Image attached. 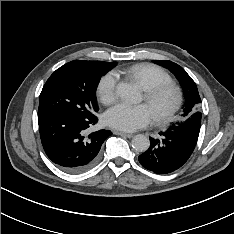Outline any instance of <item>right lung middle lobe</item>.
<instances>
[{
    "instance_id": "obj_1",
    "label": "right lung middle lobe",
    "mask_w": 234,
    "mask_h": 234,
    "mask_svg": "<svg viewBox=\"0 0 234 234\" xmlns=\"http://www.w3.org/2000/svg\"><path fill=\"white\" fill-rule=\"evenodd\" d=\"M114 66L115 63L74 60L58 68L42 89L38 118L53 113L95 116L97 85L101 76Z\"/></svg>"
}]
</instances>
